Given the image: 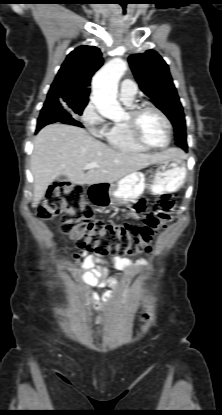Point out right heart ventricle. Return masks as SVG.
I'll use <instances>...</instances> for the list:
<instances>
[{"label": "right heart ventricle", "instance_id": "right-heart-ventricle-1", "mask_svg": "<svg viewBox=\"0 0 222 415\" xmlns=\"http://www.w3.org/2000/svg\"><path fill=\"white\" fill-rule=\"evenodd\" d=\"M124 102L128 107H133L132 101ZM103 137L110 146L121 151L140 153L148 150L133 139L124 122L113 123Z\"/></svg>", "mask_w": 222, "mask_h": 415}]
</instances>
